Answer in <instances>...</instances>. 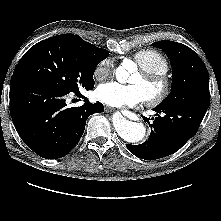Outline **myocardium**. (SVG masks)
Instances as JSON below:
<instances>
[{"instance_id":"1","label":"myocardium","mask_w":221,"mask_h":221,"mask_svg":"<svg viewBox=\"0 0 221 221\" xmlns=\"http://www.w3.org/2000/svg\"><path fill=\"white\" fill-rule=\"evenodd\" d=\"M139 73L146 81L156 84L159 87L157 92L146 97L147 103L157 106L164 102L172 90L171 79L165 73L150 72L143 69Z\"/></svg>"}]
</instances>
